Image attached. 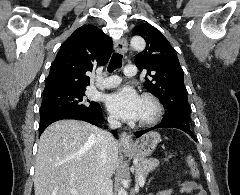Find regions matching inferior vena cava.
<instances>
[{
  "label": "inferior vena cava",
  "mask_w": 240,
  "mask_h": 195,
  "mask_svg": "<svg viewBox=\"0 0 240 195\" xmlns=\"http://www.w3.org/2000/svg\"><path fill=\"white\" fill-rule=\"evenodd\" d=\"M109 125L111 129H116V127H121L120 121L114 117V115H109L108 117ZM98 167L99 173L96 181L95 195H113V183L110 179V175L107 173V169H104L107 161V149L108 145H113L116 143L113 135L110 131H100L98 133Z\"/></svg>",
  "instance_id": "1"
}]
</instances>
